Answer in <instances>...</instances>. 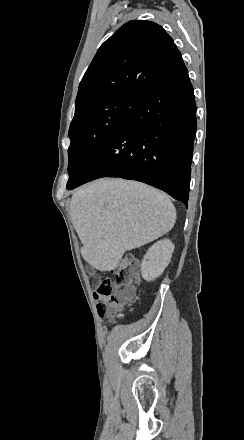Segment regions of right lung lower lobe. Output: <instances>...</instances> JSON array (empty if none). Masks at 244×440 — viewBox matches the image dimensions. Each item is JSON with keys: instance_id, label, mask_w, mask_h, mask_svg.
I'll return each mask as SVG.
<instances>
[{"instance_id": "98d812e1", "label": "right lung lower lobe", "mask_w": 244, "mask_h": 440, "mask_svg": "<svg viewBox=\"0 0 244 440\" xmlns=\"http://www.w3.org/2000/svg\"><path fill=\"white\" fill-rule=\"evenodd\" d=\"M195 114L194 91L183 64L139 99L68 189L102 177H120L159 188L187 206Z\"/></svg>"}]
</instances>
